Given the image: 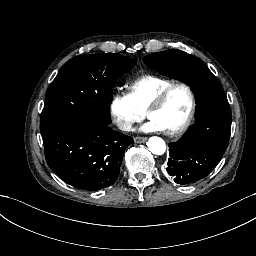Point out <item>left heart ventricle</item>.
I'll return each instance as SVG.
<instances>
[{
	"label": "left heart ventricle",
	"instance_id": "b2bd125f",
	"mask_svg": "<svg viewBox=\"0 0 256 256\" xmlns=\"http://www.w3.org/2000/svg\"><path fill=\"white\" fill-rule=\"evenodd\" d=\"M190 109V98L187 91L175 85L169 92L162 106L152 111V117L163 121L167 131L170 132L180 125L186 118Z\"/></svg>",
	"mask_w": 256,
	"mask_h": 256
}]
</instances>
